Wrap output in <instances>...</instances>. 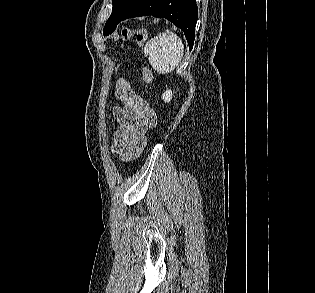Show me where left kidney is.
<instances>
[{
    "mask_svg": "<svg viewBox=\"0 0 315 293\" xmlns=\"http://www.w3.org/2000/svg\"><path fill=\"white\" fill-rule=\"evenodd\" d=\"M172 91L171 90H167L162 94V99L164 100V102L169 103L172 99Z\"/></svg>",
    "mask_w": 315,
    "mask_h": 293,
    "instance_id": "obj_1",
    "label": "left kidney"
}]
</instances>
